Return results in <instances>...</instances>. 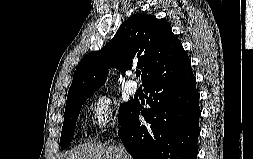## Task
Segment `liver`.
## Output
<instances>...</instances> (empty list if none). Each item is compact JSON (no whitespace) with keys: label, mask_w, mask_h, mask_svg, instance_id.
I'll return each mask as SVG.
<instances>
[{"label":"liver","mask_w":253,"mask_h":159,"mask_svg":"<svg viewBox=\"0 0 253 159\" xmlns=\"http://www.w3.org/2000/svg\"><path fill=\"white\" fill-rule=\"evenodd\" d=\"M123 154L117 146L84 144L72 150L66 159H122ZM126 159H132L127 152Z\"/></svg>","instance_id":"liver-1"}]
</instances>
